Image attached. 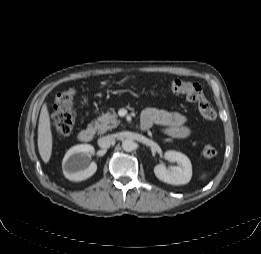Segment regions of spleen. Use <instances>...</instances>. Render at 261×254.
<instances>
[{
    "label": "spleen",
    "instance_id": "3e777b00",
    "mask_svg": "<svg viewBox=\"0 0 261 254\" xmlns=\"http://www.w3.org/2000/svg\"><path fill=\"white\" fill-rule=\"evenodd\" d=\"M205 178H206V174H203V175L201 176V179L204 180Z\"/></svg>",
    "mask_w": 261,
    "mask_h": 254
}]
</instances>
